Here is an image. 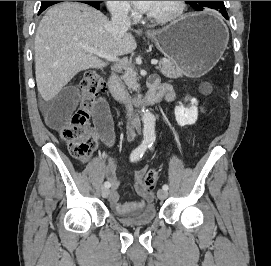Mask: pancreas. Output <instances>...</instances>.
Segmentation results:
<instances>
[{"label": "pancreas", "instance_id": "obj_1", "mask_svg": "<svg viewBox=\"0 0 271 266\" xmlns=\"http://www.w3.org/2000/svg\"><path fill=\"white\" fill-rule=\"evenodd\" d=\"M156 69L168 78H178L183 74L178 63L171 59H161L159 66H157ZM124 79L129 88L136 89L138 86L136 82V73L131 68L126 69Z\"/></svg>", "mask_w": 271, "mask_h": 266}]
</instances>
